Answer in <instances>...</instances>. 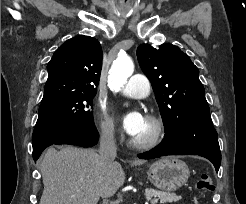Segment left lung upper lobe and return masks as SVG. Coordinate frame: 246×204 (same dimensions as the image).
<instances>
[{
  "mask_svg": "<svg viewBox=\"0 0 246 204\" xmlns=\"http://www.w3.org/2000/svg\"><path fill=\"white\" fill-rule=\"evenodd\" d=\"M137 58L151 81L165 132L182 122L210 118L198 68L177 46L162 44L156 49L142 44Z\"/></svg>",
  "mask_w": 246,
  "mask_h": 204,
  "instance_id": "obj_1",
  "label": "left lung upper lobe"
}]
</instances>
